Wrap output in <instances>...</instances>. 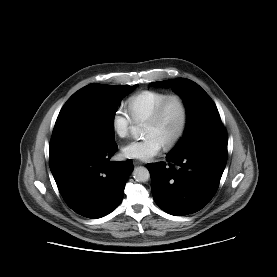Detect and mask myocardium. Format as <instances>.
Instances as JSON below:
<instances>
[{
	"instance_id": "f54148a6",
	"label": "myocardium",
	"mask_w": 277,
	"mask_h": 277,
	"mask_svg": "<svg viewBox=\"0 0 277 277\" xmlns=\"http://www.w3.org/2000/svg\"><path fill=\"white\" fill-rule=\"evenodd\" d=\"M171 100H177L179 102L182 109V119L176 134L164 145L165 149H171L176 146L183 138L187 130L189 122V108L185 98L180 94H169L160 102L153 114L146 120V123L157 124L161 120L164 110Z\"/></svg>"
}]
</instances>
